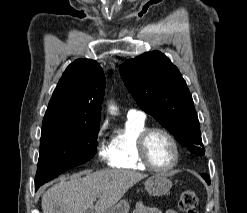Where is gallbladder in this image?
<instances>
[{
	"label": "gallbladder",
	"mask_w": 247,
	"mask_h": 213,
	"mask_svg": "<svg viewBox=\"0 0 247 213\" xmlns=\"http://www.w3.org/2000/svg\"><path fill=\"white\" fill-rule=\"evenodd\" d=\"M85 213H94L93 210L88 209Z\"/></svg>",
	"instance_id": "1"
}]
</instances>
